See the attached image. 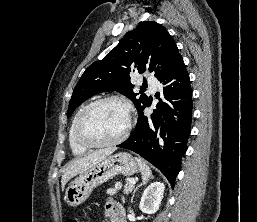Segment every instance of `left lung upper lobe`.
Wrapping results in <instances>:
<instances>
[{"mask_svg":"<svg viewBox=\"0 0 257 222\" xmlns=\"http://www.w3.org/2000/svg\"><path fill=\"white\" fill-rule=\"evenodd\" d=\"M181 58L176 43L164 27L154 21L139 23L104 59L85 70L73 91L67 117L90 97L113 90L132 100L139 112L146 106L147 96L137 97L133 92L130 73L155 70V77L160 80ZM156 63L161 64L163 71L155 69Z\"/></svg>","mask_w":257,"mask_h":222,"instance_id":"5c2ea615","label":"left lung upper lobe"}]
</instances>
